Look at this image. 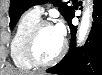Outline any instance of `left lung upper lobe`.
I'll use <instances>...</instances> for the list:
<instances>
[{
    "label": "left lung upper lobe",
    "mask_w": 102,
    "mask_h": 75,
    "mask_svg": "<svg viewBox=\"0 0 102 75\" xmlns=\"http://www.w3.org/2000/svg\"><path fill=\"white\" fill-rule=\"evenodd\" d=\"M48 1L49 0H10V28H14L22 13L28 8L47 3ZM52 3L59 6V11L66 20L69 19L74 11L72 6H68L67 3H62L60 0H52Z\"/></svg>",
    "instance_id": "left-lung-upper-lobe-1"
}]
</instances>
